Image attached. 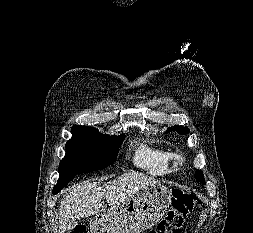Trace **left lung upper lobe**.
<instances>
[{"instance_id":"obj_1","label":"left lung upper lobe","mask_w":253,"mask_h":233,"mask_svg":"<svg viewBox=\"0 0 253 233\" xmlns=\"http://www.w3.org/2000/svg\"><path fill=\"white\" fill-rule=\"evenodd\" d=\"M170 131H177L179 134H186L188 133L189 129L187 127H183V126H174L173 128H168V130L166 131V133L170 132ZM195 178L205 184V180H204V175L200 170H197L195 173Z\"/></svg>"}]
</instances>
